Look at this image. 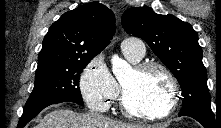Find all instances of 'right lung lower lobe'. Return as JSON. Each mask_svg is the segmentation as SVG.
Returning a JSON list of instances; mask_svg holds the SVG:
<instances>
[{
	"label": "right lung lower lobe",
	"instance_id": "98d812e1",
	"mask_svg": "<svg viewBox=\"0 0 221 128\" xmlns=\"http://www.w3.org/2000/svg\"><path fill=\"white\" fill-rule=\"evenodd\" d=\"M61 102H65V101L64 100L49 101V102H44V103L32 106L30 108L24 109L17 128H23L27 122H29L32 118H34L45 107L51 104H57Z\"/></svg>",
	"mask_w": 221,
	"mask_h": 128
}]
</instances>
